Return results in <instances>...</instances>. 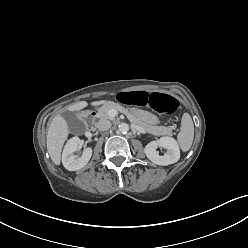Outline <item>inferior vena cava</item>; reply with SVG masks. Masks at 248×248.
Returning <instances> with one entry per match:
<instances>
[{
	"label": "inferior vena cava",
	"instance_id": "inferior-vena-cava-1",
	"mask_svg": "<svg viewBox=\"0 0 248 248\" xmlns=\"http://www.w3.org/2000/svg\"><path fill=\"white\" fill-rule=\"evenodd\" d=\"M97 128L100 130V131H106L108 129L111 128V122L109 120H100L98 123H97Z\"/></svg>",
	"mask_w": 248,
	"mask_h": 248
}]
</instances>
